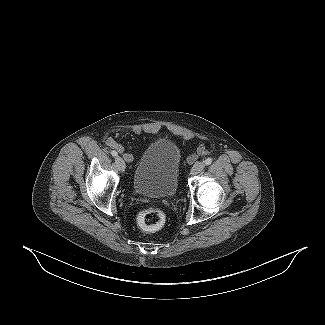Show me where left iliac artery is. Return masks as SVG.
Returning a JSON list of instances; mask_svg holds the SVG:
<instances>
[{"label":"left iliac artery","instance_id":"obj_1","mask_svg":"<svg viewBox=\"0 0 325 325\" xmlns=\"http://www.w3.org/2000/svg\"><path fill=\"white\" fill-rule=\"evenodd\" d=\"M211 163H212V158L209 157L205 160L206 165H210Z\"/></svg>","mask_w":325,"mask_h":325}]
</instances>
